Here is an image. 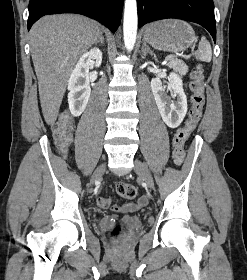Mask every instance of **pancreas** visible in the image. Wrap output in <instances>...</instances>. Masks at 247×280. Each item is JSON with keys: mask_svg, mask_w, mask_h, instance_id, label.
<instances>
[{"mask_svg": "<svg viewBox=\"0 0 247 280\" xmlns=\"http://www.w3.org/2000/svg\"><path fill=\"white\" fill-rule=\"evenodd\" d=\"M167 65L175 72H178L180 76L186 75V73H188V66L182 60L172 59Z\"/></svg>", "mask_w": 247, "mask_h": 280, "instance_id": "1", "label": "pancreas"}]
</instances>
